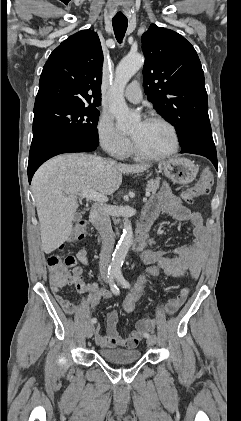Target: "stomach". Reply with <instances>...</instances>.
Wrapping results in <instances>:
<instances>
[{
  "label": "stomach",
  "mask_w": 241,
  "mask_h": 421,
  "mask_svg": "<svg viewBox=\"0 0 241 421\" xmlns=\"http://www.w3.org/2000/svg\"><path fill=\"white\" fill-rule=\"evenodd\" d=\"M164 174L174 183L187 184L192 182L198 172L195 164L187 158H171L161 164Z\"/></svg>",
  "instance_id": "0dacf381"
}]
</instances>
